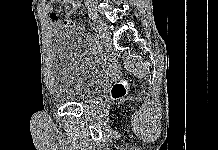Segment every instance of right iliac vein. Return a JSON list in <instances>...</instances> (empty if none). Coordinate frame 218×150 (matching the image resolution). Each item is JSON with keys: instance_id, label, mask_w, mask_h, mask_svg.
<instances>
[{"instance_id": "right-iliac-vein-1", "label": "right iliac vein", "mask_w": 218, "mask_h": 150, "mask_svg": "<svg viewBox=\"0 0 218 150\" xmlns=\"http://www.w3.org/2000/svg\"><path fill=\"white\" fill-rule=\"evenodd\" d=\"M95 23V28H97V31H100V36L103 39H108L109 32L106 24L102 22L101 20L97 19L96 17L93 18Z\"/></svg>"}]
</instances>
